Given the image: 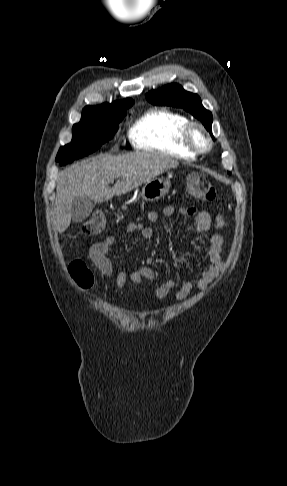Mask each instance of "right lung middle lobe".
Masks as SVG:
<instances>
[{
	"label": "right lung middle lobe",
	"instance_id": "right-lung-middle-lobe-1",
	"mask_svg": "<svg viewBox=\"0 0 287 486\" xmlns=\"http://www.w3.org/2000/svg\"><path fill=\"white\" fill-rule=\"evenodd\" d=\"M125 115L100 110L83 111L80 122L72 128L71 143L60 148L56 161L65 165L96 151L113 137Z\"/></svg>",
	"mask_w": 287,
	"mask_h": 486
}]
</instances>
